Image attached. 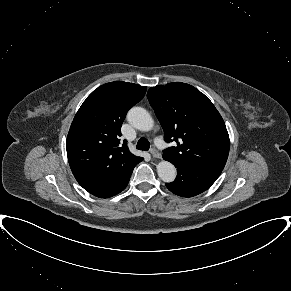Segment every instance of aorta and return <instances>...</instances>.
<instances>
[{
	"mask_svg": "<svg viewBox=\"0 0 291 291\" xmlns=\"http://www.w3.org/2000/svg\"><path fill=\"white\" fill-rule=\"evenodd\" d=\"M128 122L138 130L149 131L154 126L152 116L142 107H133L127 114ZM157 173L164 182H173L176 178V168L169 161L163 160L157 165Z\"/></svg>",
	"mask_w": 291,
	"mask_h": 291,
	"instance_id": "obj_1",
	"label": "aorta"
}]
</instances>
